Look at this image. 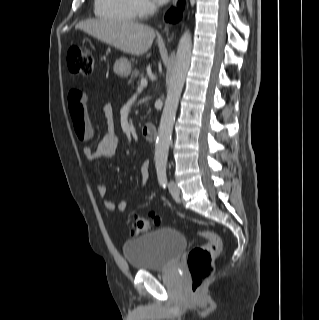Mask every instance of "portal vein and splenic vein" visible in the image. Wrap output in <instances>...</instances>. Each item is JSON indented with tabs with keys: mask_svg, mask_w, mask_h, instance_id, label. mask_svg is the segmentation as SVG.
<instances>
[{
	"mask_svg": "<svg viewBox=\"0 0 319 320\" xmlns=\"http://www.w3.org/2000/svg\"><path fill=\"white\" fill-rule=\"evenodd\" d=\"M147 84H148L147 79L146 78H142L141 81H140V85H139L138 89H142V88L146 87Z\"/></svg>",
	"mask_w": 319,
	"mask_h": 320,
	"instance_id": "obj_1",
	"label": "portal vein and splenic vein"
}]
</instances>
